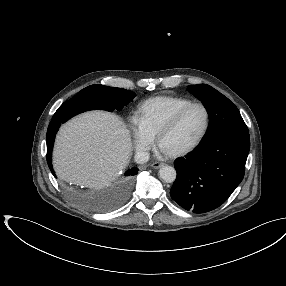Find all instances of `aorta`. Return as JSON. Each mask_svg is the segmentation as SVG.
Here are the masks:
<instances>
[{"label": "aorta", "mask_w": 286, "mask_h": 286, "mask_svg": "<svg viewBox=\"0 0 286 286\" xmlns=\"http://www.w3.org/2000/svg\"><path fill=\"white\" fill-rule=\"evenodd\" d=\"M159 177L166 183H172L176 179V170L172 166H163L159 170Z\"/></svg>", "instance_id": "obj_1"}]
</instances>
